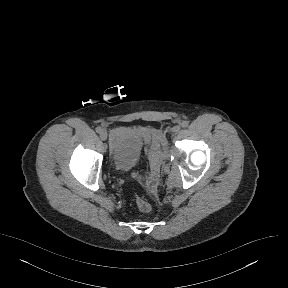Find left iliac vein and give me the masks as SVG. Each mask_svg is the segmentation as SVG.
I'll return each mask as SVG.
<instances>
[{
	"label": "left iliac vein",
	"mask_w": 288,
	"mask_h": 288,
	"mask_svg": "<svg viewBox=\"0 0 288 288\" xmlns=\"http://www.w3.org/2000/svg\"><path fill=\"white\" fill-rule=\"evenodd\" d=\"M181 127L179 125H176L173 127L172 132L173 133H178L180 131Z\"/></svg>",
	"instance_id": "left-iliac-vein-1"
}]
</instances>
